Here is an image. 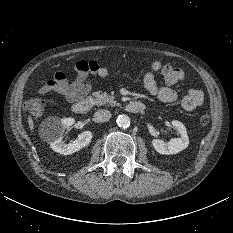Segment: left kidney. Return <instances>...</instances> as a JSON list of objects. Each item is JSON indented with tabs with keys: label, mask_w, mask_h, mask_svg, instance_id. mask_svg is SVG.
<instances>
[{
	"label": "left kidney",
	"mask_w": 233,
	"mask_h": 233,
	"mask_svg": "<svg viewBox=\"0 0 233 233\" xmlns=\"http://www.w3.org/2000/svg\"><path fill=\"white\" fill-rule=\"evenodd\" d=\"M171 123L174 129L177 130L180 137L172 138L168 142H164L160 139L152 140L154 149L163 155L177 154L180 151L186 149L189 145V138L184 124L177 120H173Z\"/></svg>",
	"instance_id": "left-kidney-1"
}]
</instances>
